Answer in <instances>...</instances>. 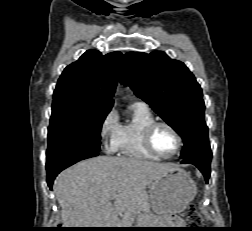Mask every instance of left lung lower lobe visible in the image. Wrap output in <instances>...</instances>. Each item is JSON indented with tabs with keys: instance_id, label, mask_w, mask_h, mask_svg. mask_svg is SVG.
<instances>
[{
	"instance_id": "obj_1",
	"label": "left lung lower lobe",
	"mask_w": 252,
	"mask_h": 231,
	"mask_svg": "<svg viewBox=\"0 0 252 231\" xmlns=\"http://www.w3.org/2000/svg\"><path fill=\"white\" fill-rule=\"evenodd\" d=\"M212 153L197 154L181 160L183 164H193L203 173L206 182H208L210 176V164H211Z\"/></svg>"
}]
</instances>
